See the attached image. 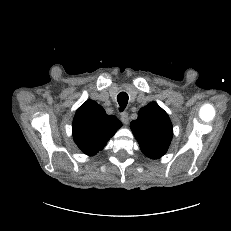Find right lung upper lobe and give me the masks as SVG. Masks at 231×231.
<instances>
[{
  "mask_svg": "<svg viewBox=\"0 0 231 231\" xmlns=\"http://www.w3.org/2000/svg\"><path fill=\"white\" fill-rule=\"evenodd\" d=\"M121 126L115 116L107 115L102 106L88 100L76 111L73 138L83 153L93 156L105 147Z\"/></svg>",
  "mask_w": 231,
  "mask_h": 231,
  "instance_id": "1",
  "label": "right lung upper lobe"
}]
</instances>
